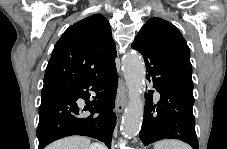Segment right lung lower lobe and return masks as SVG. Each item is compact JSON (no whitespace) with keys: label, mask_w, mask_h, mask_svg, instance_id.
Listing matches in <instances>:
<instances>
[{"label":"right lung lower lobe","mask_w":227,"mask_h":149,"mask_svg":"<svg viewBox=\"0 0 227 149\" xmlns=\"http://www.w3.org/2000/svg\"><path fill=\"white\" fill-rule=\"evenodd\" d=\"M118 75L115 60L100 71L73 83L63 91L41 103L37 137L38 149L49 143L71 135H83L98 139L111 148L116 116L115 104ZM93 91L91 95L88 91ZM85 100L84 108L76 101ZM84 111L91 114L85 116Z\"/></svg>","instance_id":"obj_1"}]
</instances>
